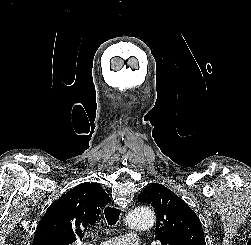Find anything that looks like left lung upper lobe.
I'll use <instances>...</instances> for the list:
<instances>
[{
    "instance_id": "1",
    "label": "left lung upper lobe",
    "mask_w": 251,
    "mask_h": 245,
    "mask_svg": "<svg viewBox=\"0 0 251 245\" xmlns=\"http://www.w3.org/2000/svg\"><path fill=\"white\" fill-rule=\"evenodd\" d=\"M156 213L155 238L162 245H206L200 220L174 192L157 183L146 186L138 196Z\"/></svg>"
}]
</instances>
